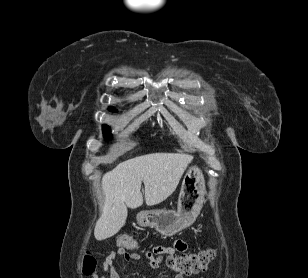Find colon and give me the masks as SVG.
Instances as JSON below:
<instances>
[{
    "label": "colon",
    "instance_id": "1",
    "mask_svg": "<svg viewBox=\"0 0 308 278\" xmlns=\"http://www.w3.org/2000/svg\"><path fill=\"white\" fill-rule=\"evenodd\" d=\"M117 244L125 250H135L138 245L130 235H122L117 239ZM214 258L212 250H202L180 255H167V265L177 274L190 275L199 273L207 268ZM97 259L91 253H86L83 259V272L86 275H94L97 267Z\"/></svg>",
    "mask_w": 308,
    "mask_h": 278
}]
</instances>
